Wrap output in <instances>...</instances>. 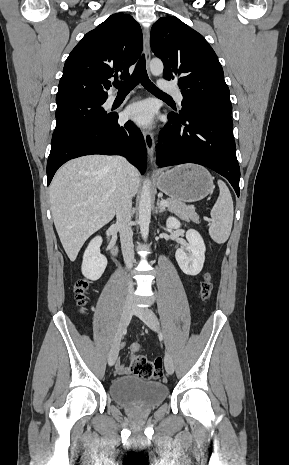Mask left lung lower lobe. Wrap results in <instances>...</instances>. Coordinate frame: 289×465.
I'll return each mask as SVG.
<instances>
[{
    "label": "left lung lower lobe",
    "mask_w": 289,
    "mask_h": 465,
    "mask_svg": "<svg viewBox=\"0 0 289 465\" xmlns=\"http://www.w3.org/2000/svg\"><path fill=\"white\" fill-rule=\"evenodd\" d=\"M157 144L160 167L195 163L224 176L239 196L240 169L236 158L231 114L190 107L171 112Z\"/></svg>",
    "instance_id": "obj_1"
}]
</instances>
